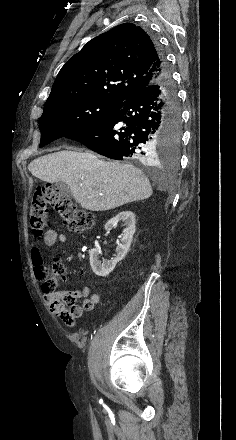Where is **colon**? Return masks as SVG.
<instances>
[{
  "label": "colon",
  "instance_id": "5ec220e1",
  "mask_svg": "<svg viewBox=\"0 0 236 440\" xmlns=\"http://www.w3.org/2000/svg\"><path fill=\"white\" fill-rule=\"evenodd\" d=\"M53 207L63 219L68 230L72 233H83L94 224V215L90 211L79 207L69 198L63 196L52 186L37 188L30 198V224L33 235L40 238L47 225L48 209ZM40 276L45 277L44 293L50 295L62 313V320L67 325L74 322L69 309L74 302L68 300L64 292L58 289V280L65 274L63 263L55 259L48 267H39Z\"/></svg>",
  "mask_w": 236,
  "mask_h": 440
}]
</instances>
